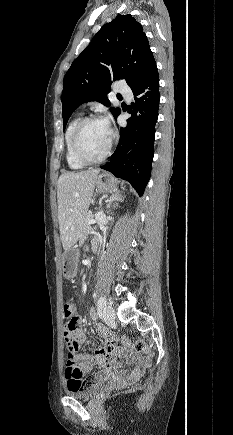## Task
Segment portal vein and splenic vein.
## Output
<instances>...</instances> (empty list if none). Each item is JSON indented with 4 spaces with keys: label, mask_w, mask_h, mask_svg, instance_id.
<instances>
[{
    "label": "portal vein and splenic vein",
    "mask_w": 233,
    "mask_h": 435,
    "mask_svg": "<svg viewBox=\"0 0 233 435\" xmlns=\"http://www.w3.org/2000/svg\"><path fill=\"white\" fill-rule=\"evenodd\" d=\"M94 223H96V220L93 219V218L87 221L88 225H91V224H94Z\"/></svg>",
    "instance_id": "18ae733b"
}]
</instances>
